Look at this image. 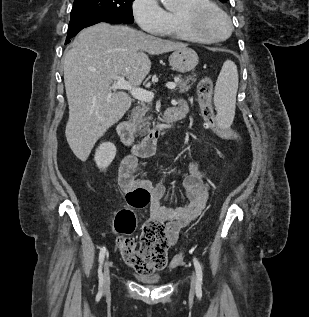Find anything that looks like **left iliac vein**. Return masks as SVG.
I'll return each instance as SVG.
<instances>
[{
    "label": "left iliac vein",
    "instance_id": "1",
    "mask_svg": "<svg viewBox=\"0 0 309 317\" xmlns=\"http://www.w3.org/2000/svg\"><path fill=\"white\" fill-rule=\"evenodd\" d=\"M195 287H196V277L195 275L193 274L192 278H191V289L192 291L195 290Z\"/></svg>",
    "mask_w": 309,
    "mask_h": 317
}]
</instances>
